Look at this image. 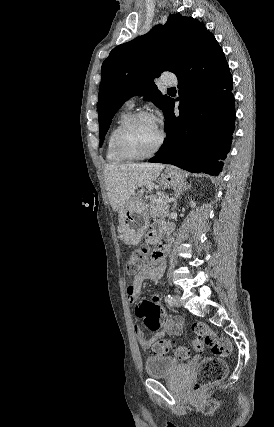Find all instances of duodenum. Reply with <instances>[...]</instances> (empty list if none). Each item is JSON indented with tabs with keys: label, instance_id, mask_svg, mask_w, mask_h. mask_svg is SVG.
<instances>
[{
	"label": "duodenum",
	"instance_id": "duodenum-1",
	"mask_svg": "<svg viewBox=\"0 0 274 427\" xmlns=\"http://www.w3.org/2000/svg\"><path fill=\"white\" fill-rule=\"evenodd\" d=\"M170 227L164 228L159 236V243L152 253L154 260H161L169 250V238Z\"/></svg>",
	"mask_w": 274,
	"mask_h": 427
}]
</instances>
